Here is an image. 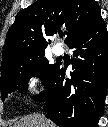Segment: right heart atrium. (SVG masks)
<instances>
[{
    "instance_id": "right-heart-atrium-1",
    "label": "right heart atrium",
    "mask_w": 108,
    "mask_h": 127,
    "mask_svg": "<svg viewBox=\"0 0 108 127\" xmlns=\"http://www.w3.org/2000/svg\"><path fill=\"white\" fill-rule=\"evenodd\" d=\"M26 88L27 92L30 94L37 93L42 87V80L40 76L36 73H31L26 78Z\"/></svg>"
}]
</instances>
